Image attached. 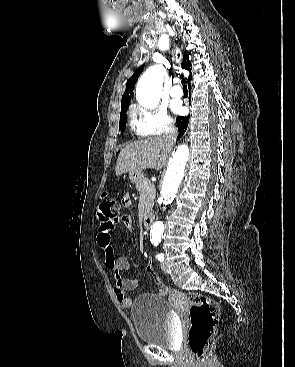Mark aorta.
Masks as SVG:
<instances>
[{
	"mask_svg": "<svg viewBox=\"0 0 295 367\" xmlns=\"http://www.w3.org/2000/svg\"><path fill=\"white\" fill-rule=\"evenodd\" d=\"M164 75L165 69L161 65H155L147 69L141 76L136 90V98L140 105L150 109L158 105ZM189 157L188 146L180 145L169 160L160 190V198L164 205L170 204L183 186L187 177ZM163 233L164 223L155 222L150 230L151 241L160 242Z\"/></svg>",
	"mask_w": 295,
	"mask_h": 367,
	"instance_id": "obj_1",
	"label": "aorta"
}]
</instances>
